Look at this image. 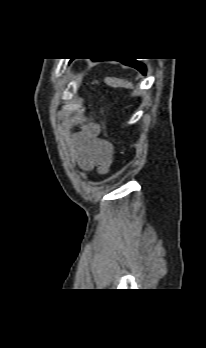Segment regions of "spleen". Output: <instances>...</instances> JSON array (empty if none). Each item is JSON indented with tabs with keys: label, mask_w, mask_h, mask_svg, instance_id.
Returning <instances> with one entry per match:
<instances>
[{
	"label": "spleen",
	"mask_w": 206,
	"mask_h": 348,
	"mask_svg": "<svg viewBox=\"0 0 206 348\" xmlns=\"http://www.w3.org/2000/svg\"><path fill=\"white\" fill-rule=\"evenodd\" d=\"M105 83L111 87H124L128 89H133V84L127 80L119 79V78H105Z\"/></svg>",
	"instance_id": "1"
}]
</instances>
